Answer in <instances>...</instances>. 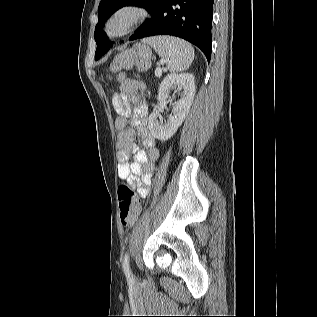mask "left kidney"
<instances>
[{"label": "left kidney", "mask_w": 317, "mask_h": 317, "mask_svg": "<svg viewBox=\"0 0 317 317\" xmlns=\"http://www.w3.org/2000/svg\"><path fill=\"white\" fill-rule=\"evenodd\" d=\"M171 89H176V92L182 90V94L180 100L173 104L172 114L167 121H158L161 109L159 106L149 115V130L161 141L171 138L189 113L196 91L194 76L191 73L167 75L159 86V105L169 97Z\"/></svg>", "instance_id": "5707ae66"}]
</instances>
